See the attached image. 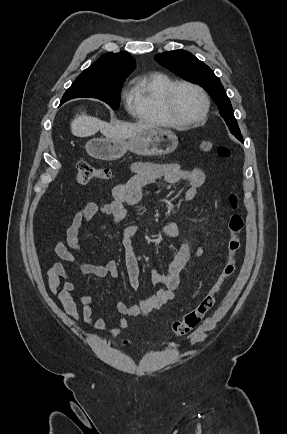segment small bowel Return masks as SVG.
<instances>
[{
  "instance_id": "1",
  "label": "small bowel",
  "mask_w": 287,
  "mask_h": 434,
  "mask_svg": "<svg viewBox=\"0 0 287 434\" xmlns=\"http://www.w3.org/2000/svg\"><path fill=\"white\" fill-rule=\"evenodd\" d=\"M205 182V175L201 169H183L179 164H152L149 162H135L131 166V176L113 190V199L109 203L91 202L83 206L72 218L65 230V238H59L55 243V252L65 262L74 265L83 275H93L99 278L111 277L118 280L120 272L117 263L110 260L105 264H92L77 259L70 250L84 252L78 239L79 230L89 224L98 214L111 218L114 228L118 231L121 246L125 252L126 270L131 286L138 287L141 284L140 270L133 251L132 239L138 233L137 225L122 226V220L129 209L136 207L141 201V191L144 187L156 183H164L174 186L179 183H187L188 189L184 193V200L191 203L196 191ZM184 231L183 226L176 221L165 223L161 228V234L165 238H174ZM191 252V243L186 242L164 272L152 271V280L160 288L158 291L141 300L137 304L127 305L123 302L116 303V310L121 318L110 321L106 318H94L91 295L80 294L78 300L81 303L79 312L75 300L77 285L70 280L62 261H55L47 272V285L49 290L57 295L65 312L73 319L82 318L94 330H106L108 336H116L128 326L127 317L142 315L147 316L158 310L174 298V292L180 285L181 276L188 263Z\"/></svg>"
}]
</instances>
